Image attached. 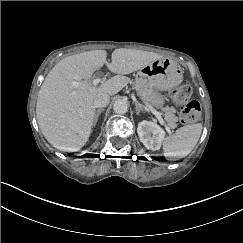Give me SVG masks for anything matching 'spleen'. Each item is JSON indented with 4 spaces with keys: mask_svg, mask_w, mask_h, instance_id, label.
Returning <instances> with one entry per match:
<instances>
[{
    "mask_svg": "<svg viewBox=\"0 0 243 243\" xmlns=\"http://www.w3.org/2000/svg\"><path fill=\"white\" fill-rule=\"evenodd\" d=\"M203 126L201 123L178 128L173 135L162 141L165 157H186L196 146Z\"/></svg>",
    "mask_w": 243,
    "mask_h": 243,
    "instance_id": "1",
    "label": "spleen"
}]
</instances>
